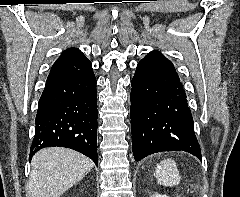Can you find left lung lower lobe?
I'll return each mask as SVG.
<instances>
[{
    "mask_svg": "<svg viewBox=\"0 0 240 197\" xmlns=\"http://www.w3.org/2000/svg\"><path fill=\"white\" fill-rule=\"evenodd\" d=\"M131 85L135 161L156 152L181 150L201 160L192 114L176 71L137 66Z\"/></svg>",
    "mask_w": 240,
    "mask_h": 197,
    "instance_id": "0a47b994",
    "label": "left lung lower lobe"
}]
</instances>
